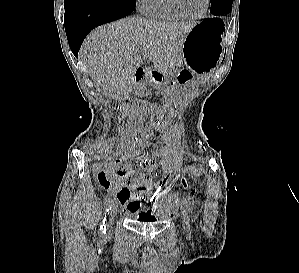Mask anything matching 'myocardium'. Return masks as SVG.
Returning <instances> with one entry per match:
<instances>
[{"label":"myocardium","mask_w":299,"mask_h":273,"mask_svg":"<svg viewBox=\"0 0 299 273\" xmlns=\"http://www.w3.org/2000/svg\"><path fill=\"white\" fill-rule=\"evenodd\" d=\"M173 3V6L175 7V9L181 14L183 15L185 18L191 19V20H198L203 18L206 13L208 12L209 6H210V0H205V7L204 10L202 11L201 14L199 15H190L188 14L182 7L180 0H171Z\"/></svg>","instance_id":"f54148a6"}]
</instances>
